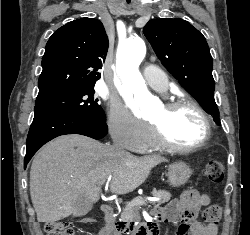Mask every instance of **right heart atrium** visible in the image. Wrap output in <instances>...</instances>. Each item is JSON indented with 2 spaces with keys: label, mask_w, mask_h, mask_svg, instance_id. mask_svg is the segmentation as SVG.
Instances as JSON below:
<instances>
[{
  "label": "right heart atrium",
  "mask_w": 250,
  "mask_h": 235,
  "mask_svg": "<svg viewBox=\"0 0 250 235\" xmlns=\"http://www.w3.org/2000/svg\"><path fill=\"white\" fill-rule=\"evenodd\" d=\"M107 126L112 139L130 151H141L151 136L149 126L117 102L110 106Z\"/></svg>",
  "instance_id": "right-heart-atrium-1"
}]
</instances>
